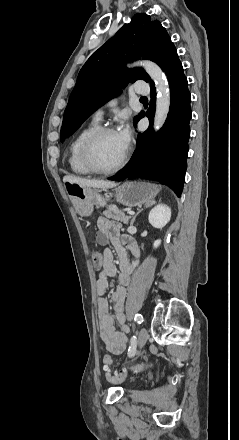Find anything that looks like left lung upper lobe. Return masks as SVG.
<instances>
[{"label": "left lung upper lobe", "instance_id": "1", "mask_svg": "<svg viewBox=\"0 0 239 440\" xmlns=\"http://www.w3.org/2000/svg\"><path fill=\"white\" fill-rule=\"evenodd\" d=\"M173 47L159 21H152L144 13L135 14L131 22L122 26L81 68L65 109L60 140L73 134L87 117L118 94L128 82L151 81L142 68L126 69L127 62L149 59L162 68Z\"/></svg>", "mask_w": 239, "mask_h": 440}]
</instances>
